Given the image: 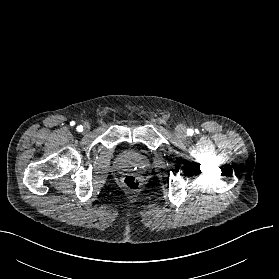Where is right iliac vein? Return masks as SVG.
I'll return each mask as SVG.
<instances>
[{"label":"right iliac vein","mask_w":279,"mask_h":279,"mask_svg":"<svg viewBox=\"0 0 279 279\" xmlns=\"http://www.w3.org/2000/svg\"><path fill=\"white\" fill-rule=\"evenodd\" d=\"M90 129V125L88 123L84 124V132H88Z\"/></svg>","instance_id":"63e3f726"}]
</instances>
